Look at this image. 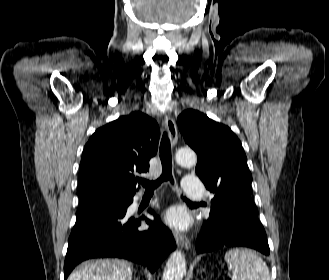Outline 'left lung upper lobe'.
I'll list each match as a JSON object with an SVG mask.
<instances>
[{"label":"left lung upper lobe","instance_id":"left-lung-upper-lobe-1","mask_svg":"<svg viewBox=\"0 0 329 280\" xmlns=\"http://www.w3.org/2000/svg\"><path fill=\"white\" fill-rule=\"evenodd\" d=\"M184 139L198 155L196 173L206 188L215 194L208 220L219 223L229 203L250 196L252 176L240 140L223 124L197 110L182 112L177 120Z\"/></svg>","mask_w":329,"mask_h":280}]
</instances>
